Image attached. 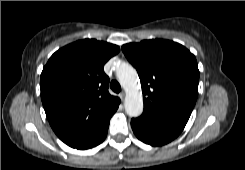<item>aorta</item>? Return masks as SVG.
Returning a JSON list of instances; mask_svg holds the SVG:
<instances>
[{
    "instance_id": "aorta-1",
    "label": "aorta",
    "mask_w": 245,
    "mask_h": 170,
    "mask_svg": "<svg viewBox=\"0 0 245 170\" xmlns=\"http://www.w3.org/2000/svg\"><path fill=\"white\" fill-rule=\"evenodd\" d=\"M120 85L126 92L124 107L130 117H138L143 112V98L139 88L136 70L128 63H121L116 70Z\"/></svg>"
}]
</instances>
